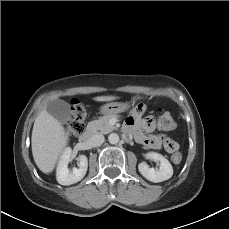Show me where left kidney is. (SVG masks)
<instances>
[{
	"label": "left kidney",
	"instance_id": "left-kidney-1",
	"mask_svg": "<svg viewBox=\"0 0 229 229\" xmlns=\"http://www.w3.org/2000/svg\"><path fill=\"white\" fill-rule=\"evenodd\" d=\"M146 156L154 161H159L160 166L159 169H153L149 168L145 162L140 163L138 169L143 177L154 183L162 182L172 177V165L164 156L155 152L147 153Z\"/></svg>",
	"mask_w": 229,
	"mask_h": 229
}]
</instances>
